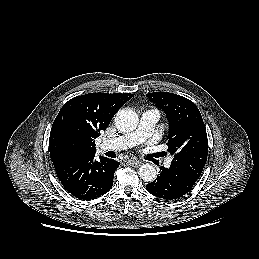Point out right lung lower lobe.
<instances>
[{"instance_id": "right-lung-lower-lobe-1", "label": "right lung lower lobe", "mask_w": 259, "mask_h": 259, "mask_svg": "<svg viewBox=\"0 0 259 259\" xmlns=\"http://www.w3.org/2000/svg\"><path fill=\"white\" fill-rule=\"evenodd\" d=\"M94 155L79 156L55 166L56 174L66 190L82 200H91L107 193L113 185L119 162Z\"/></svg>"}]
</instances>
